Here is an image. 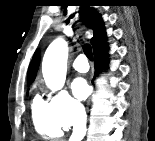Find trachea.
<instances>
[{"mask_svg":"<svg viewBox=\"0 0 155 141\" xmlns=\"http://www.w3.org/2000/svg\"><path fill=\"white\" fill-rule=\"evenodd\" d=\"M84 53L89 60H93L92 48L89 44L84 45Z\"/></svg>","mask_w":155,"mask_h":141,"instance_id":"1","label":"trachea"}]
</instances>
